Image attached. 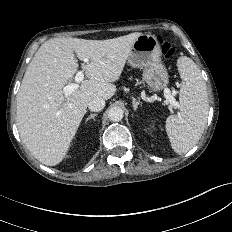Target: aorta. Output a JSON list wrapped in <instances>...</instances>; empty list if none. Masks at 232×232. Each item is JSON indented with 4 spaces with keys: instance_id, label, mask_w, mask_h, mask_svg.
<instances>
[{
    "instance_id": "aorta-1",
    "label": "aorta",
    "mask_w": 232,
    "mask_h": 232,
    "mask_svg": "<svg viewBox=\"0 0 232 232\" xmlns=\"http://www.w3.org/2000/svg\"><path fill=\"white\" fill-rule=\"evenodd\" d=\"M124 116V111L121 107L115 106L109 109L108 118L113 122H118L122 120Z\"/></svg>"
}]
</instances>
